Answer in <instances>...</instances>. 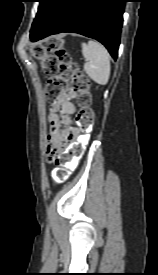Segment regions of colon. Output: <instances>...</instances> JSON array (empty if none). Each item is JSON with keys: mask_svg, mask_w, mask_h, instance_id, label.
Instances as JSON below:
<instances>
[{"mask_svg": "<svg viewBox=\"0 0 158 275\" xmlns=\"http://www.w3.org/2000/svg\"><path fill=\"white\" fill-rule=\"evenodd\" d=\"M30 51L40 61L44 72L50 76L46 85L47 98L54 102L69 90L77 99L76 122L82 136L66 151L55 157V168L51 171V178L54 181L63 182L82 157L85 144L93 129L91 82L87 75L73 63L71 56L65 50L63 38L50 37L44 45H33Z\"/></svg>", "mask_w": 158, "mask_h": 275, "instance_id": "obj_1", "label": "colon"}]
</instances>
